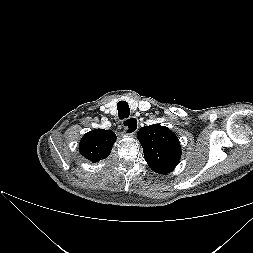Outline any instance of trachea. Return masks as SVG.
Segmentation results:
<instances>
[{
    "instance_id": "obj_1",
    "label": "trachea",
    "mask_w": 253,
    "mask_h": 253,
    "mask_svg": "<svg viewBox=\"0 0 253 253\" xmlns=\"http://www.w3.org/2000/svg\"><path fill=\"white\" fill-rule=\"evenodd\" d=\"M117 110H118L119 119H125V118L129 117L130 110H129V105L126 101L118 102ZM126 123L128 124V127H130V124H132V121L128 120V121H126Z\"/></svg>"
}]
</instances>
